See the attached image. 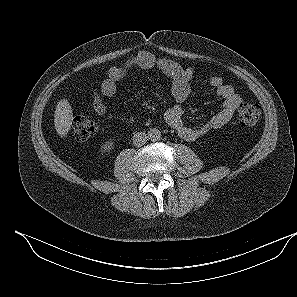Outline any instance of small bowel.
Returning a JSON list of instances; mask_svg holds the SVG:
<instances>
[{
  "instance_id": "obj_1",
  "label": "small bowel",
  "mask_w": 297,
  "mask_h": 297,
  "mask_svg": "<svg viewBox=\"0 0 297 297\" xmlns=\"http://www.w3.org/2000/svg\"><path fill=\"white\" fill-rule=\"evenodd\" d=\"M134 68L143 70L158 69L170 79L171 92L176 104L165 111L164 118L166 123L185 141H195L210 131L227 124L243 101L234 88L226 84L221 77L198 78L194 67H182L175 61L158 58L149 51H138L127 60L111 67L107 77L101 84L102 95L106 97L115 95L117 84ZM194 81L211 86L216 95L221 98L222 106L206 122L197 126H187L183 120V111L180 104L189 96L190 86ZM155 96L160 99L159 94L156 93ZM92 104L96 113L108 121L131 123L134 120V117L128 114L107 115L106 104L99 94L94 95Z\"/></svg>"
}]
</instances>
